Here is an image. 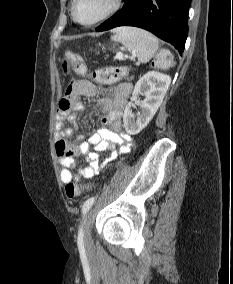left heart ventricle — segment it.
<instances>
[{
	"label": "left heart ventricle",
	"instance_id": "b2bd125f",
	"mask_svg": "<svg viewBox=\"0 0 233 284\" xmlns=\"http://www.w3.org/2000/svg\"><path fill=\"white\" fill-rule=\"evenodd\" d=\"M111 0H78L76 17L82 22H90L101 16L110 6Z\"/></svg>",
	"mask_w": 233,
	"mask_h": 284
}]
</instances>
